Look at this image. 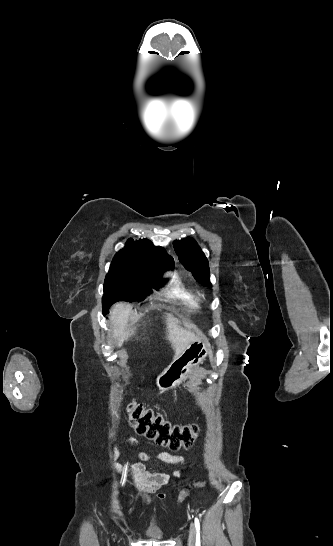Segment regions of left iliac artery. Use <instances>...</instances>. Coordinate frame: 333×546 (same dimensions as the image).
I'll return each instance as SVG.
<instances>
[{
    "mask_svg": "<svg viewBox=\"0 0 333 546\" xmlns=\"http://www.w3.org/2000/svg\"><path fill=\"white\" fill-rule=\"evenodd\" d=\"M195 527H196V546H200V523H199V519L196 517L195 518Z\"/></svg>",
    "mask_w": 333,
    "mask_h": 546,
    "instance_id": "44dca946",
    "label": "left iliac artery"
}]
</instances>
